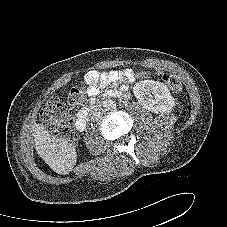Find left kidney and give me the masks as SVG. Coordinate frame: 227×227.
Instances as JSON below:
<instances>
[{
    "instance_id": "obj_1",
    "label": "left kidney",
    "mask_w": 227,
    "mask_h": 227,
    "mask_svg": "<svg viewBox=\"0 0 227 227\" xmlns=\"http://www.w3.org/2000/svg\"><path fill=\"white\" fill-rule=\"evenodd\" d=\"M133 92L143 108L151 112H170L175 106V100L169 89L161 82L153 80L137 82Z\"/></svg>"
}]
</instances>
